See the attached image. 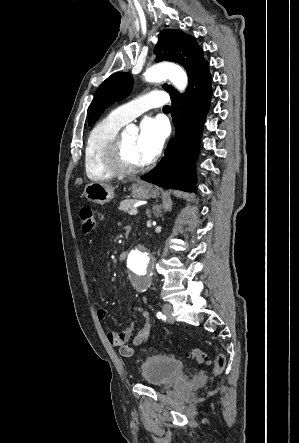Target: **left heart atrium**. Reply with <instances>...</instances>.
<instances>
[{"label":"left heart atrium","instance_id":"left-heart-atrium-1","mask_svg":"<svg viewBox=\"0 0 299 443\" xmlns=\"http://www.w3.org/2000/svg\"><path fill=\"white\" fill-rule=\"evenodd\" d=\"M164 135V125L160 119L147 117L142 121L137 148L143 164L152 162L159 154Z\"/></svg>","mask_w":299,"mask_h":443}]
</instances>
